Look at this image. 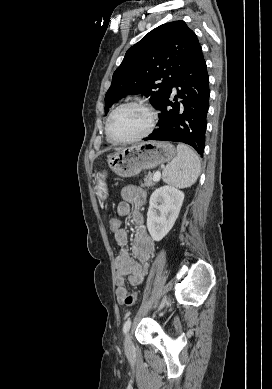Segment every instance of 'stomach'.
I'll return each mask as SVG.
<instances>
[{
	"mask_svg": "<svg viewBox=\"0 0 272 389\" xmlns=\"http://www.w3.org/2000/svg\"><path fill=\"white\" fill-rule=\"evenodd\" d=\"M176 155L172 144L162 141H146L123 148L108 156L109 168L118 176L128 178L139 174L142 170L152 169L169 162ZM107 172L96 177V193L101 203L108 197L106 185Z\"/></svg>",
	"mask_w": 272,
	"mask_h": 389,
	"instance_id": "1",
	"label": "stomach"
}]
</instances>
